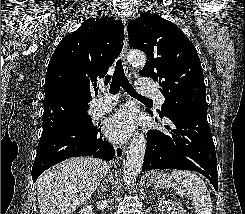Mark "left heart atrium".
Masks as SVG:
<instances>
[{"label":"left heart atrium","instance_id":"39dd6f15","mask_svg":"<svg viewBox=\"0 0 245 214\" xmlns=\"http://www.w3.org/2000/svg\"><path fill=\"white\" fill-rule=\"evenodd\" d=\"M134 127V115L128 109H122L112 116L105 125L106 136L113 141H124Z\"/></svg>","mask_w":245,"mask_h":214}]
</instances>
